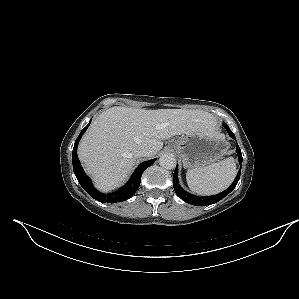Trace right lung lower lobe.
<instances>
[{"mask_svg":"<svg viewBox=\"0 0 299 299\" xmlns=\"http://www.w3.org/2000/svg\"><path fill=\"white\" fill-rule=\"evenodd\" d=\"M91 122V121H90ZM90 122L88 125L82 129L81 133L79 134L78 138L75 141L73 152H72V160H73V170L75 173V176L82 186V188L94 199L100 201V202H109V203H116L118 201H124L128 198H130L134 193L137 191L140 185L141 176L146 168L151 166L156 159H151L149 161H145L141 163L137 169L132 174L130 180L119 190L109 193V194H103L97 191L93 185L91 179L84 173L83 168L80 164V161L77 156V147L79 140L81 139L82 135L90 125Z\"/></svg>","mask_w":299,"mask_h":299,"instance_id":"obj_1","label":"right lung lower lobe"}]
</instances>
